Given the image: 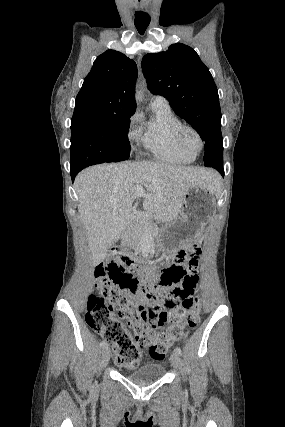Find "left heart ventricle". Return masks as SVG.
<instances>
[{"label": "left heart ventricle", "mask_w": 285, "mask_h": 427, "mask_svg": "<svg viewBox=\"0 0 285 427\" xmlns=\"http://www.w3.org/2000/svg\"><path fill=\"white\" fill-rule=\"evenodd\" d=\"M184 143L188 149L195 151L199 147L198 140L196 136L191 132H186L183 136Z\"/></svg>", "instance_id": "obj_1"}]
</instances>
